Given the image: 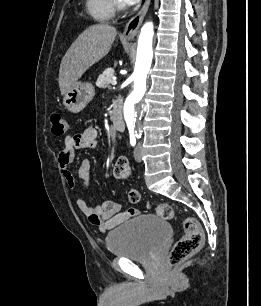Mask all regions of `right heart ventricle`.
<instances>
[{"label":"right heart ventricle","mask_w":261,"mask_h":306,"mask_svg":"<svg viewBox=\"0 0 261 306\" xmlns=\"http://www.w3.org/2000/svg\"><path fill=\"white\" fill-rule=\"evenodd\" d=\"M88 13L97 21L108 22L114 16L113 0H86Z\"/></svg>","instance_id":"e07e8e85"}]
</instances>
